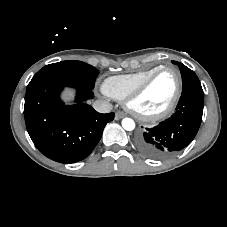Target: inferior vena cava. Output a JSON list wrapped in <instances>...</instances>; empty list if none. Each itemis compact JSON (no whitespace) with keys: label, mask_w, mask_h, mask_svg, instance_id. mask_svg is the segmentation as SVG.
<instances>
[{"label":"inferior vena cava","mask_w":227,"mask_h":227,"mask_svg":"<svg viewBox=\"0 0 227 227\" xmlns=\"http://www.w3.org/2000/svg\"><path fill=\"white\" fill-rule=\"evenodd\" d=\"M93 108L99 113H109L112 110V105L105 100H96L93 103Z\"/></svg>","instance_id":"inferior-vena-cava-1"}]
</instances>
